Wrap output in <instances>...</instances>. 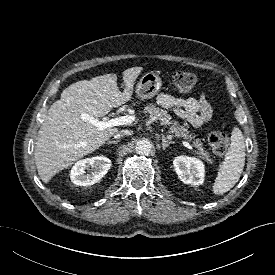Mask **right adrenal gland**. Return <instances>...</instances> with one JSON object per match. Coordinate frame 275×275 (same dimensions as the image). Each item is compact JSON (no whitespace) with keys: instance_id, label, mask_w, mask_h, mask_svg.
<instances>
[{"instance_id":"1","label":"right adrenal gland","mask_w":275,"mask_h":275,"mask_svg":"<svg viewBox=\"0 0 275 275\" xmlns=\"http://www.w3.org/2000/svg\"><path fill=\"white\" fill-rule=\"evenodd\" d=\"M120 141V139L108 141L107 144H117Z\"/></svg>"}]
</instances>
